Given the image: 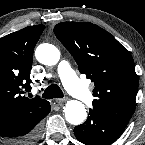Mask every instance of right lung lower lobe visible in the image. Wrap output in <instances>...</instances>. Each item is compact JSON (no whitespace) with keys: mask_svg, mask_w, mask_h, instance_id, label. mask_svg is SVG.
<instances>
[{"mask_svg":"<svg viewBox=\"0 0 145 145\" xmlns=\"http://www.w3.org/2000/svg\"><path fill=\"white\" fill-rule=\"evenodd\" d=\"M49 102L17 121L0 124V138L12 145H32L40 136V121L50 112Z\"/></svg>","mask_w":145,"mask_h":145,"instance_id":"obj_1","label":"right lung lower lobe"}]
</instances>
